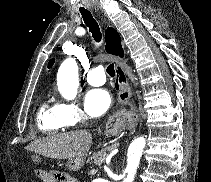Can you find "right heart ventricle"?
<instances>
[{"mask_svg": "<svg viewBox=\"0 0 211 182\" xmlns=\"http://www.w3.org/2000/svg\"><path fill=\"white\" fill-rule=\"evenodd\" d=\"M36 122L38 129L47 135L56 134L67 127L59 112L58 104H53L51 101H44L40 105Z\"/></svg>", "mask_w": 211, "mask_h": 182, "instance_id": "e07e8e85", "label": "right heart ventricle"}]
</instances>
